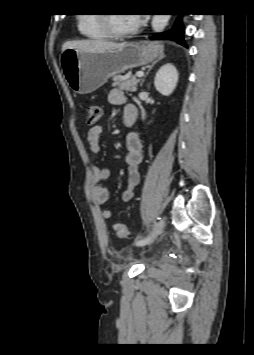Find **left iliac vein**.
Here are the masks:
<instances>
[{"label": "left iliac vein", "mask_w": 254, "mask_h": 355, "mask_svg": "<svg viewBox=\"0 0 254 355\" xmlns=\"http://www.w3.org/2000/svg\"><path fill=\"white\" fill-rule=\"evenodd\" d=\"M164 228H165V221L162 220V221H160L159 223H157L156 226H155V231H154V232H155V235H156V236L160 235V234L163 232ZM153 241H154V239H152V240H151L150 242H148L147 244H151Z\"/></svg>", "instance_id": "4c4485c4"}]
</instances>
